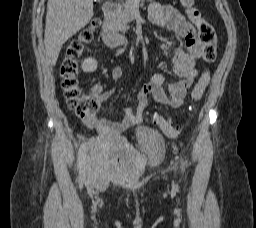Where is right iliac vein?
I'll use <instances>...</instances> for the list:
<instances>
[{
    "instance_id": "right-iliac-vein-1",
    "label": "right iliac vein",
    "mask_w": 256,
    "mask_h": 228,
    "mask_svg": "<svg viewBox=\"0 0 256 228\" xmlns=\"http://www.w3.org/2000/svg\"><path fill=\"white\" fill-rule=\"evenodd\" d=\"M87 160H90V157H87Z\"/></svg>"
}]
</instances>
